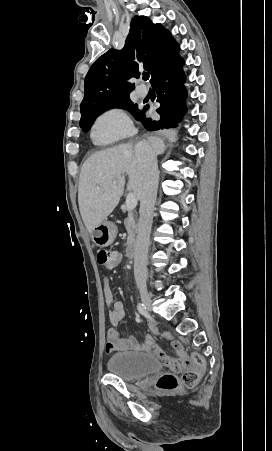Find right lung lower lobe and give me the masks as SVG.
Returning a JSON list of instances; mask_svg holds the SVG:
<instances>
[{
	"label": "right lung lower lobe",
	"mask_w": 272,
	"mask_h": 451,
	"mask_svg": "<svg viewBox=\"0 0 272 451\" xmlns=\"http://www.w3.org/2000/svg\"><path fill=\"white\" fill-rule=\"evenodd\" d=\"M183 64L184 61L178 54L158 71L151 82L157 92V101L161 104L157 109L160 119L152 121L149 118H145L142 112L138 120L142 122L147 130L157 131L178 127L182 121V116L187 111Z\"/></svg>",
	"instance_id": "1"
}]
</instances>
